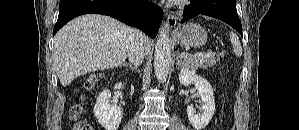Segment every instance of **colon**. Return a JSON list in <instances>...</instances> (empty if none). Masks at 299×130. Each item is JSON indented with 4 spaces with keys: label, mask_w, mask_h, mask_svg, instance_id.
Instances as JSON below:
<instances>
[{
    "label": "colon",
    "mask_w": 299,
    "mask_h": 130,
    "mask_svg": "<svg viewBox=\"0 0 299 130\" xmlns=\"http://www.w3.org/2000/svg\"><path fill=\"white\" fill-rule=\"evenodd\" d=\"M100 78H101V76H93V77L89 78L85 84V89L87 91L94 89ZM80 112H81V105L80 104L75 105L72 108L71 113H70L71 118L73 120H77ZM74 130H94V128L89 124L77 123L75 125Z\"/></svg>",
    "instance_id": "5ec220e1"
}]
</instances>
